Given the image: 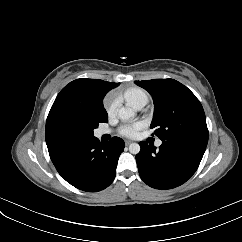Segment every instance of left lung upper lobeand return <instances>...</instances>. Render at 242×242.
<instances>
[{
  "mask_svg": "<svg viewBox=\"0 0 242 242\" xmlns=\"http://www.w3.org/2000/svg\"><path fill=\"white\" fill-rule=\"evenodd\" d=\"M146 89L154 101L151 128L169 144L199 143L207 145L208 129L203 107L196 96L173 79L135 81Z\"/></svg>",
  "mask_w": 242,
  "mask_h": 242,
  "instance_id": "5c2ea615",
  "label": "left lung upper lobe"
}]
</instances>
